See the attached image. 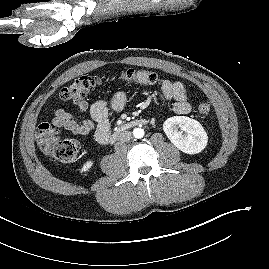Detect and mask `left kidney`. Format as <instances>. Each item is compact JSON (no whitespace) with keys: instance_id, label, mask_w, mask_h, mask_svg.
<instances>
[{"instance_id":"obj_1","label":"left kidney","mask_w":269,"mask_h":269,"mask_svg":"<svg viewBox=\"0 0 269 269\" xmlns=\"http://www.w3.org/2000/svg\"><path fill=\"white\" fill-rule=\"evenodd\" d=\"M163 130L174 146L187 154L201 152L208 143V136L202 125L189 117H170L164 122Z\"/></svg>"}]
</instances>
